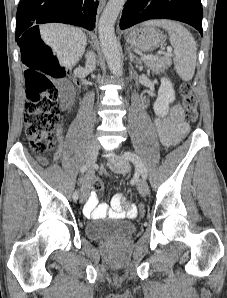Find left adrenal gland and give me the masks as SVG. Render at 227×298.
Listing matches in <instances>:
<instances>
[{"label": "left adrenal gland", "instance_id": "obj_1", "mask_svg": "<svg viewBox=\"0 0 227 298\" xmlns=\"http://www.w3.org/2000/svg\"><path fill=\"white\" fill-rule=\"evenodd\" d=\"M128 54H129V58L131 62H135L138 65H141V61L140 59H138V57L136 55H134L131 51L130 48H127Z\"/></svg>", "mask_w": 227, "mask_h": 298}]
</instances>
